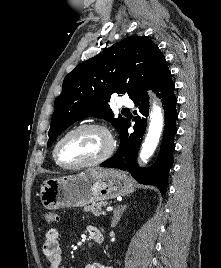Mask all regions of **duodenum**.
Masks as SVG:
<instances>
[{
    "instance_id": "obj_1",
    "label": "duodenum",
    "mask_w": 221,
    "mask_h": 268,
    "mask_svg": "<svg viewBox=\"0 0 221 268\" xmlns=\"http://www.w3.org/2000/svg\"><path fill=\"white\" fill-rule=\"evenodd\" d=\"M92 239L97 243H102L103 235L100 231L93 234Z\"/></svg>"
}]
</instances>
